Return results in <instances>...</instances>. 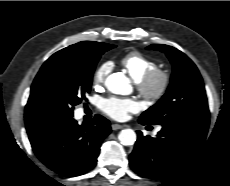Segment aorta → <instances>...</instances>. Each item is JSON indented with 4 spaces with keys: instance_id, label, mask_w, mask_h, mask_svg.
I'll return each mask as SVG.
<instances>
[{
    "instance_id": "obj_1",
    "label": "aorta",
    "mask_w": 230,
    "mask_h": 186,
    "mask_svg": "<svg viewBox=\"0 0 230 186\" xmlns=\"http://www.w3.org/2000/svg\"><path fill=\"white\" fill-rule=\"evenodd\" d=\"M129 79L121 73H113L106 79L105 85L107 89L115 94L125 95L129 92ZM122 145H133L136 141V133L132 129H124L118 135Z\"/></svg>"
}]
</instances>
